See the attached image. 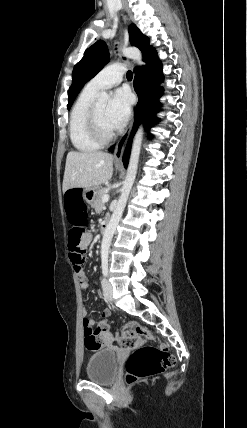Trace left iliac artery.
<instances>
[{"label": "left iliac artery", "mask_w": 247, "mask_h": 428, "mask_svg": "<svg viewBox=\"0 0 247 428\" xmlns=\"http://www.w3.org/2000/svg\"><path fill=\"white\" fill-rule=\"evenodd\" d=\"M102 273L104 276H107L108 274V257L102 256Z\"/></svg>", "instance_id": "1"}]
</instances>
